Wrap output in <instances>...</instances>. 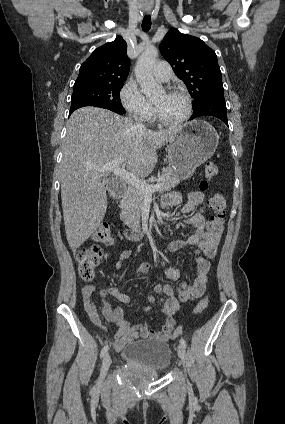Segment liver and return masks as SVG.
I'll list each match as a JSON object with an SVG mask.
<instances>
[{
	"label": "liver",
	"mask_w": 285,
	"mask_h": 424,
	"mask_svg": "<svg viewBox=\"0 0 285 424\" xmlns=\"http://www.w3.org/2000/svg\"><path fill=\"white\" fill-rule=\"evenodd\" d=\"M143 130L131 119L97 107L76 110L67 122L60 163L61 199L67 241L79 248L99 227L107 209L102 172L113 161L138 178L147 177L157 162V149L178 132Z\"/></svg>",
	"instance_id": "6515ba94"
}]
</instances>
